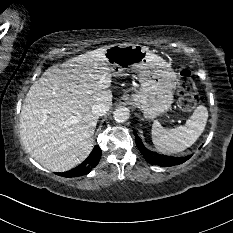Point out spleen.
<instances>
[{"instance_id":"spleen-1","label":"spleen","mask_w":233,"mask_h":233,"mask_svg":"<svg viewBox=\"0 0 233 233\" xmlns=\"http://www.w3.org/2000/svg\"><path fill=\"white\" fill-rule=\"evenodd\" d=\"M208 119L207 108L198 106L184 126L170 130L158 121L152 125V141L159 152L178 153L192 146L205 129Z\"/></svg>"}]
</instances>
